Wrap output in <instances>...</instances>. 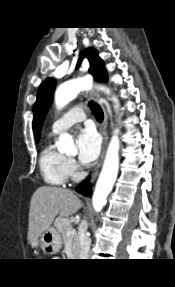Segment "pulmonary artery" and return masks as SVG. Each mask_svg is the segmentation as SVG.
Instances as JSON below:
<instances>
[{"label": "pulmonary artery", "mask_w": 175, "mask_h": 287, "mask_svg": "<svg viewBox=\"0 0 175 287\" xmlns=\"http://www.w3.org/2000/svg\"><path fill=\"white\" fill-rule=\"evenodd\" d=\"M85 119L86 113L83 108L81 106H75L55 120L52 125V132L54 134L60 133Z\"/></svg>", "instance_id": "e3ab8cb5"}]
</instances>
